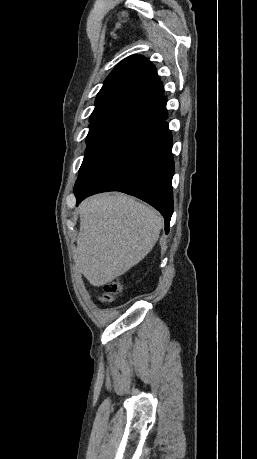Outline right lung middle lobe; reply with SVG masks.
I'll list each match as a JSON object with an SVG mask.
<instances>
[{
    "label": "right lung middle lobe",
    "instance_id": "1",
    "mask_svg": "<svg viewBox=\"0 0 257 459\" xmlns=\"http://www.w3.org/2000/svg\"><path fill=\"white\" fill-rule=\"evenodd\" d=\"M133 114L135 113L125 109H110L91 114L87 149L79 171L104 150L120 126Z\"/></svg>",
    "mask_w": 257,
    "mask_h": 459
}]
</instances>
